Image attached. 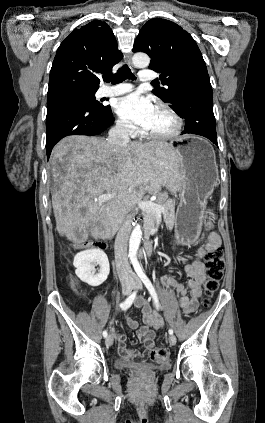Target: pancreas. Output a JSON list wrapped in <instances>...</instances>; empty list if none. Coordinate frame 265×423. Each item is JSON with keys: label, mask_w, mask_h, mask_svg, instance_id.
<instances>
[{"label": "pancreas", "mask_w": 265, "mask_h": 423, "mask_svg": "<svg viewBox=\"0 0 265 423\" xmlns=\"http://www.w3.org/2000/svg\"><path fill=\"white\" fill-rule=\"evenodd\" d=\"M158 205L164 208L162 212L164 222L168 228H173L175 223V203L172 199L168 198L166 193H160L157 200L155 201ZM144 228L146 235L151 234V229L154 226L157 216L154 213H144Z\"/></svg>", "instance_id": "1"}]
</instances>
